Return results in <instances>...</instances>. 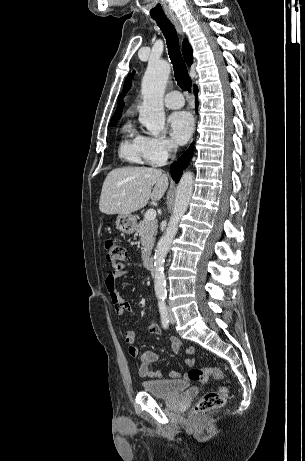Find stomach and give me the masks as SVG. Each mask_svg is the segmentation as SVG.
<instances>
[{
	"mask_svg": "<svg viewBox=\"0 0 305 461\" xmlns=\"http://www.w3.org/2000/svg\"><path fill=\"white\" fill-rule=\"evenodd\" d=\"M116 228L125 234H132L137 227L135 216L128 214H119L115 221Z\"/></svg>",
	"mask_w": 305,
	"mask_h": 461,
	"instance_id": "1",
	"label": "stomach"
}]
</instances>
